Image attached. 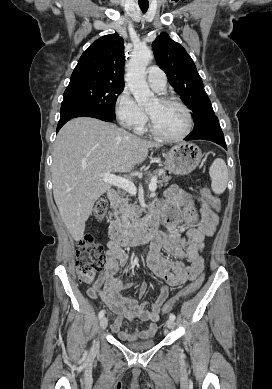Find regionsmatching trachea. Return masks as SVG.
I'll list each match as a JSON object with an SVG mask.
<instances>
[{
	"label": "trachea",
	"mask_w": 272,
	"mask_h": 389,
	"mask_svg": "<svg viewBox=\"0 0 272 389\" xmlns=\"http://www.w3.org/2000/svg\"><path fill=\"white\" fill-rule=\"evenodd\" d=\"M139 7L143 13H146L149 7V4H139Z\"/></svg>",
	"instance_id": "1"
}]
</instances>
